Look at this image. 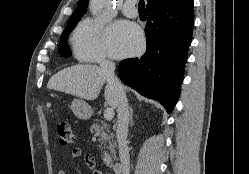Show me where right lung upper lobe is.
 <instances>
[{
  "mask_svg": "<svg viewBox=\"0 0 249 174\" xmlns=\"http://www.w3.org/2000/svg\"><path fill=\"white\" fill-rule=\"evenodd\" d=\"M88 1L89 0H80L79 1L78 5H77V8L74 11L73 15L71 16L69 22H76V21L80 20V18L86 12ZM175 1H178V0H147V2H148L147 11H149V10H151L153 8H157L159 6H162L164 4L173 3Z\"/></svg>",
  "mask_w": 249,
  "mask_h": 174,
  "instance_id": "obj_1",
  "label": "right lung upper lobe"
}]
</instances>
